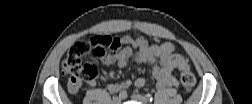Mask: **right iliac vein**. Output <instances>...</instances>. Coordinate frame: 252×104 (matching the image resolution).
I'll return each instance as SVG.
<instances>
[{"label": "right iliac vein", "mask_w": 252, "mask_h": 104, "mask_svg": "<svg viewBox=\"0 0 252 104\" xmlns=\"http://www.w3.org/2000/svg\"><path fill=\"white\" fill-rule=\"evenodd\" d=\"M113 103L114 104H120L121 103V98L120 97H114L113 98Z\"/></svg>", "instance_id": "obj_1"}]
</instances>
